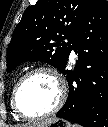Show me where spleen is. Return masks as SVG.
I'll list each match as a JSON object with an SVG mask.
<instances>
[{
    "label": "spleen",
    "mask_w": 108,
    "mask_h": 127,
    "mask_svg": "<svg viewBox=\"0 0 108 127\" xmlns=\"http://www.w3.org/2000/svg\"><path fill=\"white\" fill-rule=\"evenodd\" d=\"M72 126H73V127H81V126L78 125V124H73Z\"/></svg>",
    "instance_id": "spleen-1"
}]
</instances>
